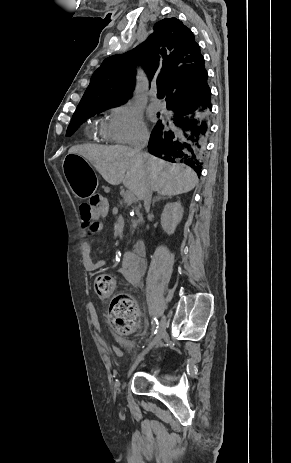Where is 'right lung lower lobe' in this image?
<instances>
[{"label": "right lung lower lobe", "instance_id": "1", "mask_svg": "<svg viewBox=\"0 0 291 463\" xmlns=\"http://www.w3.org/2000/svg\"><path fill=\"white\" fill-rule=\"evenodd\" d=\"M167 109L173 112V124L164 126L161 121L157 122L150 136L148 150L167 161L184 163L200 176L212 109L207 73L198 97L175 98L167 102Z\"/></svg>", "mask_w": 291, "mask_h": 463}]
</instances>
